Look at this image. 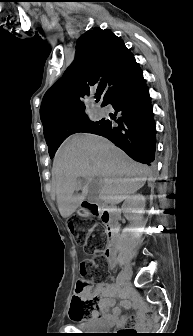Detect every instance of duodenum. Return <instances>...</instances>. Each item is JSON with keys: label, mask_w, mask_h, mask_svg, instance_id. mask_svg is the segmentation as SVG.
<instances>
[{"label": "duodenum", "mask_w": 193, "mask_h": 336, "mask_svg": "<svg viewBox=\"0 0 193 336\" xmlns=\"http://www.w3.org/2000/svg\"><path fill=\"white\" fill-rule=\"evenodd\" d=\"M83 206L87 208L93 215L100 218L105 225L107 234V244L105 249V257L109 262L114 261L115 250L117 244L118 219L116 208L114 206L84 202Z\"/></svg>", "instance_id": "1"}]
</instances>
